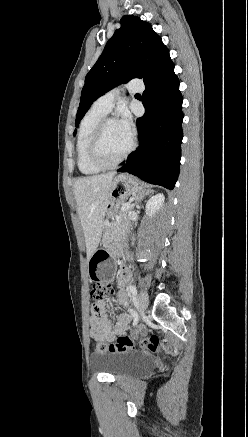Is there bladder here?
<instances>
[{
  "label": "bladder",
  "mask_w": 248,
  "mask_h": 437,
  "mask_svg": "<svg viewBox=\"0 0 248 437\" xmlns=\"http://www.w3.org/2000/svg\"><path fill=\"white\" fill-rule=\"evenodd\" d=\"M90 363L96 370L121 377L151 369L154 360L142 352L93 353L90 355Z\"/></svg>",
  "instance_id": "bladder-1"
}]
</instances>
